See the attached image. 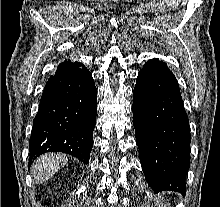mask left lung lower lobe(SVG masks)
Masks as SVG:
<instances>
[{
	"instance_id": "0a47b994",
	"label": "left lung lower lobe",
	"mask_w": 220,
	"mask_h": 207,
	"mask_svg": "<svg viewBox=\"0 0 220 207\" xmlns=\"http://www.w3.org/2000/svg\"><path fill=\"white\" fill-rule=\"evenodd\" d=\"M133 125L145 178L155 191L186 193L190 128L178 82L167 65L149 60L133 91Z\"/></svg>"
}]
</instances>
